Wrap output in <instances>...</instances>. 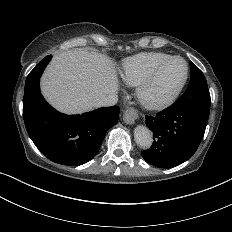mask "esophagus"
<instances>
[{
  "mask_svg": "<svg viewBox=\"0 0 232 232\" xmlns=\"http://www.w3.org/2000/svg\"><path fill=\"white\" fill-rule=\"evenodd\" d=\"M137 118H138V112L135 108L129 107L124 111L123 120L125 123L134 124Z\"/></svg>",
  "mask_w": 232,
  "mask_h": 232,
  "instance_id": "esophagus-1",
  "label": "esophagus"
}]
</instances>
